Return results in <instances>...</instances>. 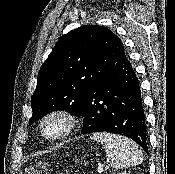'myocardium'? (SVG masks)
Instances as JSON below:
<instances>
[{"instance_id":"obj_1","label":"myocardium","mask_w":175,"mask_h":174,"mask_svg":"<svg viewBox=\"0 0 175 174\" xmlns=\"http://www.w3.org/2000/svg\"><path fill=\"white\" fill-rule=\"evenodd\" d=\"M52 118L62 119L64 121V127L59 133L55 135H48L45 132V124L48 120ZM77 122H78L77 117L73 112L63 108L53 109L48 113H46L41 119L40 133L42 134L43 137H45L50 141H58L69 136L75 130Z\"/></svg>"}]
</instances>
